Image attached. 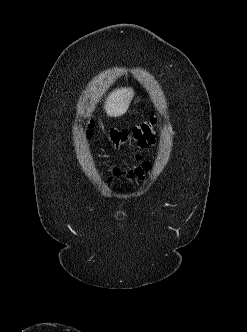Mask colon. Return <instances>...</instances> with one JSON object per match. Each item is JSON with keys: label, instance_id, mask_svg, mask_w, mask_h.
I'll use <instances>...</instances> for the list:
<instances>
[{"label": "colon", "instance_id": "colon-1", "mask_svg": "<svg viewBox=\"0 0 247 332\" xmlns=\"http://www.w3.org/2000/svg\"><path fill=\"white\" fill-rule=\"evenodd\" d=\"M156 125V118L152 117L149 121L143 122L134 126L131 130L114 129L110 132V141L118 146L127 141L135 142L140 148H146L154 142V128ZM92 124H89L91 127ZM90 137V131L87 132Z\"/></svg>", "mask_w": 247, "mask_h": 332}]
</instances>
